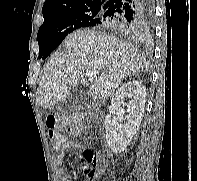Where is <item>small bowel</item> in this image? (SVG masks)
Returning <instances> with one entry per match:
<instances>
[{
	"label": "small bowel",
	"instance_id": "obj_1",
	"mask_svg": "<svg viewBox=\"0 0 197 181\" xmlns=\"http://www.w3.org/2000/svg\"><path fill=\"white\" fill-rule=\"evenodd\" d=\"M80 144L78 142H69L64 141L60 148H58V154L55 158V165L57 168L58 175L60 176L61 181H72L71 176L65 171L63 167V162L65 155L73 149H79Z\"/></svg>",
	"mask_w": 197,
	"mask_h": 181
}]
</instances>
